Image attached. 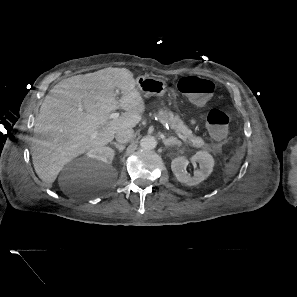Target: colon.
<instances>
[{
  "instance_id": "1",
  "label": "colon",
  "mask_w": 297,
  "mask_h": 297,
  "mask_svg": "<svg viewBox=\"0 0 297 297\" xmlns=\"http://www.w3.org/2000/svg\"><path fill=\"white\" fill-rule=\"evenodd\" d=\"M178 89L197 101H204L210 98L215 90L214 84L207 79L186 76L177 81ZM207 128L213 138L223 141L227 136L229 116L219 109H212L206 120Z\"/></svg>"
}]
</instances>
